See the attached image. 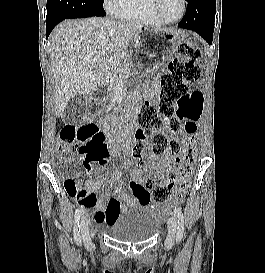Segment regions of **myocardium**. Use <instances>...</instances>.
Returning <instances> with one entry per match:
<instances>
[{
  "label": "myocardium",
  "mask_w": 265,
  "mask_h": 273,
  "mask_svg": "<svg viewBox=\"0 0 265 273\" xmlns=\"http://www.w3.org/2000/svg\"><path fill=\"white\" fill-rule=\"evenodd\" d=\"M181 2H182V12L178 18L173 19V20L167 19L162 15V13L160 11V0H151V9H152V12L154 13L155 17L157 18V20H159L161 23L174 24V23L181 21L187 12V1L181 0Z\"/></svg>",
  "instance_id": "1"
}]
</instances>
